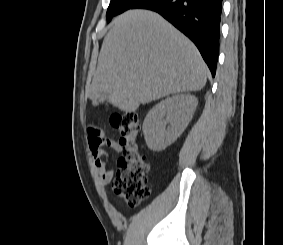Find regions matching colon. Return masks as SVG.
<instances>
[{"label": "colon", "instance_id": "obj_1", "mask_svg": "<svg viewBox=\"0 0 283 245\" xmlns=\"http://www.w3.org/2000/svg\"><path fill=\"white\" fill-rule=\"evenodd\" d=\"M110 123L120 136L123 147L118 171L113 180L114 193L131 207H137L150 195L147 180L149 165L137 146L139 118L133 112H116Z\"/></svg>", "mask_w": 283, "mask_h": 245}]
</instances>
